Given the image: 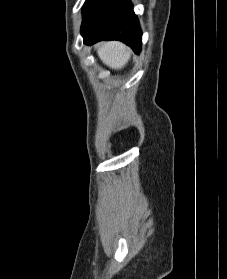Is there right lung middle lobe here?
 I'll return each mask as SVG.
<instances>
[{
    "label": "right lung middle lobe",
    "instance_id": "right-lung-middle-lobe-1",
    "mask_svg": "<svg viewBox=\"0 0 227 279\" xmlns=\"http://www.w3.org/2000/svg\"><path fill=\"white\" fill-rule=\"evenodd\" d=\"M93 0H86V2L84 3V6H83V13L84 11L88 8V6L90 5V3L92 2Z\"/></svg>",
    "mask_w": 227,
    "mask_h": 279
}]
</instances>
